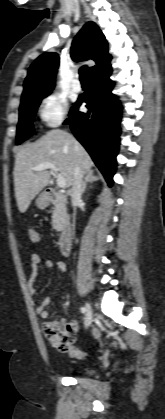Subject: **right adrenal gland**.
<instances>
[{
    "label": "right adrenal gland",
    "instance_id": "1",
    "mask_svg": "<svg viewBox=\"0 0 165 419\" xmlns=\"http://www.w3.org/2000/svg\"><path fill=\"white\" fill-rule=\"evenodd\" d=\"M97 179L98 178L96 176H94V170H89L87 172V175H86L85 179H84L81 193L83 194L85 192L87 182H94Z\"/></svg>",
    "mask_w": 165,
    "mask_h": 419
}]
</instances>
